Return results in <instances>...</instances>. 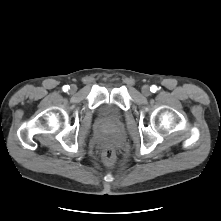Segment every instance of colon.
Listing matches in <instances>:
<instances>
[{"label":"colon","instance_id":"colon-1","mask_svg":"<svg viewBox=\"0 0 221 221\" xmlns=\"http://www.w3.org/2000/svg\"><path fill=\"white\" fill-rule=\"evenodd\" d=\"M102 157L105 163L113 164L116 159V149L112 145H106L102 150Z\"/></svg>","mask_w":221,"mask_h":221}]
</instances>
